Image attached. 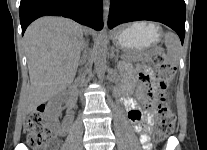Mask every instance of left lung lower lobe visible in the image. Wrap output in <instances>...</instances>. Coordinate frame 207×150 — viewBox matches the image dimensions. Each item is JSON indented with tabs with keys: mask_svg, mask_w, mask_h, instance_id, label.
Returning <instances> with one entry per match:
<instances>
[{
	"mask_svg": "<svg viewBox=\"0 0 207 150\" xmlns=\"http://www.w3.org/2000/svg\"><path fill=\"white\" fill-rule=\"evenodd\" d=\"M185 19L184 0H111L108 27L138 20L157 21L171 27L183 44Z\"/></svg>",
	"mask_w": 207,
	"mask_h": 150,
	"instance_id": "left-lung-lower-lobe-1",
	"label": "left lung lower lobe"
}]
</instances>
